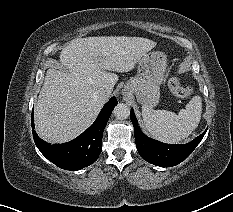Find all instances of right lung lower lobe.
Listing matches in <instances>:
<instances>
[{"mask_svg":"<svg viewBox=\"0 0 233 212\" xmlns=\"http://www.w3.org/2000/svg\"><path fill=\"white\" fill-rule=\"evenodd\" d=\"M116 105V98L112 97L85 132L70 142L53 145L39 138L34 131L32 111L31 124L35 144L49 161L62 169L75 171L87 167L98 159L102 151L103 131Z\"/></svg>","mask_w":233,"mask_h":212,"instance_id":"right-lung-lower-lobe-1","label":"right lung lower lobe"}]
</instances>
